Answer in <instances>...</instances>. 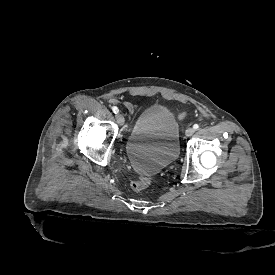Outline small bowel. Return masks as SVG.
Masks as SVG:
<instances>
[{"label":"small bowel","instance_id":"c3829d8e","mask_svg":"<svg viewBox=\"0 0 275 275\" xmlns=\"http://www.w3.org/2000/svg\"><path fill=\"white\" fill-rule=\"evenodd\" d=\"M110 102H111L112 104H118V103H120L117 99H111ZM122 104H123L130 112H134V111L137 109L136 105H134V104H132V103H130V102H123Z\"/></svg>","mask_w":275,"mask_h":275}]
</instances>
